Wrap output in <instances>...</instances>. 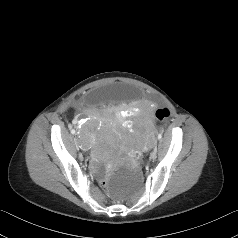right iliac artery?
<instances>
[{
    "label": "right iliac artery",
    "mask_w": 238,
    "mask_h": 238,
    "mask_svg": "<svg viewBox=\"0 0 238 238\" xmlns=\"http://www.w3.org/2000/svg\"><path fill=\"white\" fill-rule=\"evenodd\" d=\"M75 132H76V131H75L74 129H71V133H72V134H75Z\"/></svg>",
    "instance_id": "right-iliac-artery-1"
}]
</instances>
